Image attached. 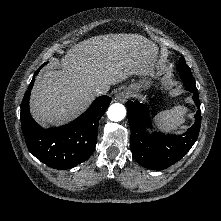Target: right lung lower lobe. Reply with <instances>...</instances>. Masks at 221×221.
I'll return each mask as SVG.
<instances>
[{"mask_svg":"<svg viewBox=\"0 0 221 221\" xmlns=\"http://www.w3.org/2000/svg\"><path fill=\"white\" fill-rule=\"evenodd\" d=\"M34 80L33 77L21 104V126L29 151L47 166L59 170L70 169L84 162L94 151L98 123L111 98L100 96L71 123L43 129L33 120L29 112V98Z\"/></svg>","mask_w":221,"mask_h":221,"instance_id":"1","label":"right lung lower lobe"}]
</instances>
